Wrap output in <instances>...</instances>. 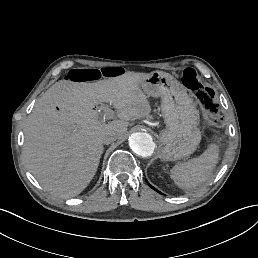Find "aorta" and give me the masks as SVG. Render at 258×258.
Segmentation results:
<instances>
[{"label":"aorta","mask_w":258,"mask_h":258,"mask_svg":"<svg viewBox=\"0 0 258 258\" xmlns=\"http://www.w3.org/2000/svg\"><path fill=\"white\" fill-rule=\"evenodd\" d=\"M129 146L137 155L149 157L153 154L156 145L148 133L136 132L130 136Z\"/></svg>","instance_id":"762f6f07"}]
</instances>
